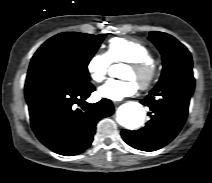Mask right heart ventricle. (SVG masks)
Returning <instances> with one entry per match:
<instances>
[{"instance_id":"1","label":"right heart ventricle","mask_w":212,"mask_h":183,"mask_svg":"<svg viewBox=\"0 0 212 183\" xmlns=\"http://www.w3.org/2000/svg\"><path fill=\"white\" fill-rule=\"evenodd\" d=\"M107 55L111 62L129 63L134 61H152L151 50L143 43L134 39L113 38L108 43Z\"/></svg>"}]
</instances>
